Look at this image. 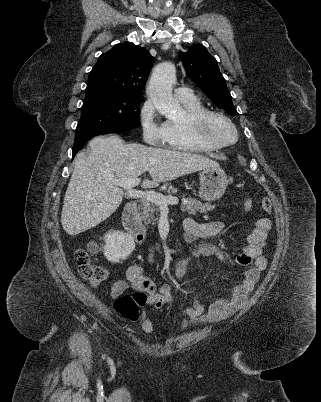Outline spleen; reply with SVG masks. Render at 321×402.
<instances>
[{
    "instance_id": "1",
    "label": "spleen",
    "mask_w": 321,
    "mask_h": 402,
    "mask_svg": "<svg viewBox=\"0 0 321 402\" xmlns=\"http://www.w3.org/2000/svg\"><path fill=\"white\" fill-rule=\"evenodd\" d=\"M244 206H245V210H246V211L250 210V209H251V206H252L251 200H250V199L247 200V201L244 203Z\"/></svg>"
}]
</instances>
